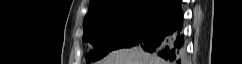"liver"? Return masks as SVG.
<instances>
[{"label": "liver", "instance_id": "1", "mask_svg": "<svg viewBox=\"0 0 242 64\" xmlns=\"http://www.w3.org/2000/svg\"><path fill=\"white\" fill-rule=\"evenodd\" d=\"M163 60L134 47L111 52L97 64H162Z\"/></svg>", "mask_w": 242, "mask_h": 64}]
</instances>
